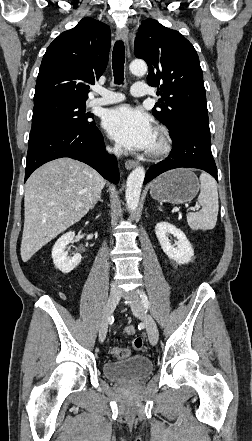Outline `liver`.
<instances>
[{
	"label": "liver",
	"instance_id": "obj_1",
	"mask_svg": "<svg viewBox=\"0 0 252 441\" xmlns=\"http://www.w3.org/2000/svg\"><path fill=\"white\" fill-rule=\"evenodd\" d=\"M104 186L105 179L97 171L67 157L50 161L34 171L25 185L20 248L23 262L80 221Z\"/></svg>",
	"mask_w": 252,
	"mask_h": 441
}]
</instances>
